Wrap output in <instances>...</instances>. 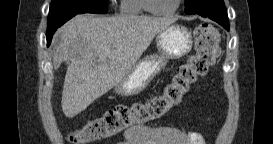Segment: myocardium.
I'll list each match as a JSON object with an SVG mask.
<instances>
[{
  "label": "myocardium",
  "mask_w": 273,
  "mask_h": 144,
  "mask_svg": "<svg viewBox=\"0 0 273 144\" xmlns=\"http://www.w3.org/2000/svg\"><path fill=\"white\" fill-rule=\"evenodd\" d=\"M181 3L182 0H177L173 8L169 10H159L154 6V0H145L144 9L152 15L166 16L175 13L179 9Z\"/></svg>",
  "instance_id": "obj_1"
}]
</instances>
